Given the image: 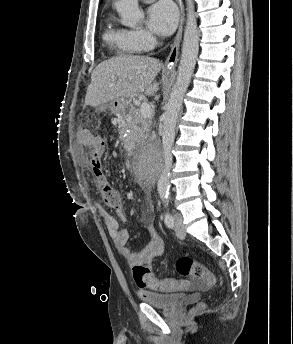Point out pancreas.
I'll return each mask as SVG.
<instances>
[{
    "mask_svg": "<svg viewBox=\"0 0 293 344\" xmlns=\"http://www.w3.org/2000/svg\"><path fill=\"white\" fill-rule=\"evenodd\" d=\"M152 119H153V114H151L147 118H144L141 115L140 110L138 108L133 107L128 117L127 127L130 128L131 131H136V130L142 131L143 132L142 139H144L147 136V131L152 124Z\"/></svg>",
    "mask_w": 293,
    "mask_h": 344,
    "instance_id": "cf45deb5",
    "label": "pancreas"
}]
</instances>
